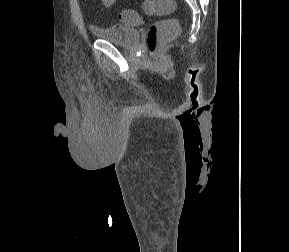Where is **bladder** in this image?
Segmentation results:
<instances>
[{
    "mask_svg": "<svg viewBox=\"0 0 289 252\" xmlns=\"http://www.w3.org/2000/svg\"><path fill=\"white\" fill-rule=\"evenodd\" d=\"M91 32L98 38L120 46H133L139 41V31L121 25L108 27L92 26Z\"/></svg>",
    "mask_w": 289,
    "mask_h": 252,
    "instance_id": "1",
    "label": "bladder"
}]
</instances>
